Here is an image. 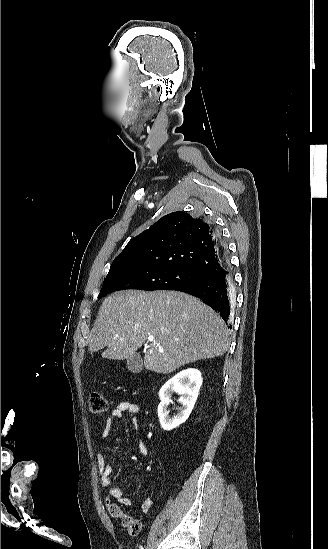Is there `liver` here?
I'll return each instance as SVG.
<instances>
[{
	"label": "liver",
	"instance_id": "6515ba94",
	"mask_svg": "<svg viewBox=\"0 0 328 549\" xmlns=\"http://www.w3.org/2000/svg\"><path fill=\"white\" fill-rule=\"evenodd\" d=\"M89 337L90 353L107 347L103 359L116 361L146 345L145 369L163 375L220 357L230 345L223 319L200 299L179 291H116L103 301Z\"/></svg>",
	"mask_w": 328,
	"mask_h": 549
}]
</instances>
